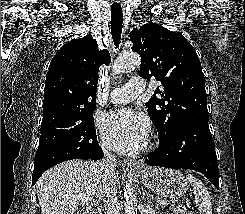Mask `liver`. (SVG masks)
I'll use <instances>...</instances> for the list:
<instances>
[{"label":"liver","mask_w":245,"mask_h":214,"mask_svg":"<svg viewBox=\"0 0 245 214\" xmlns=\"http://www.w3.org/2000/svg\"><path fill=\"white\" fill-rule=\"evenodd\" d=\"M119 181V173L106 174L93 161L71 160L47 170L36 184L41 214H74L79 201L90 195L105 200L106 187Z\"/></svg>","instance_id":"liver-1"}]
</instances>
